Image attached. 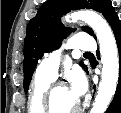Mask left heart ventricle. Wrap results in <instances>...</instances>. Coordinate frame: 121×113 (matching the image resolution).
I'll return each mask as SVG.
<instances>
[{
    "label": "left heart ventricle",
    "mask_w": 121,
    "mask_h": 113,
    "mask_svg": "<svg viewBox=\"0 0 121 113\" xmlns=\"http://www.w3.org/2000/svg\"><path fill=\"white\" fill-rule=\"evenodd\" d=\"M78 106V101L74 97L70 88L59 87L53 92V108L54 113H68Z\"/></svg>",
    "instance_id": "left-heart-ventricle-1"
}]
</instances>
